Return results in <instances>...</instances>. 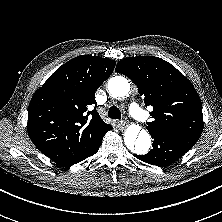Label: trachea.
<instances>
[{
	"label": "trachea",
	"instance_id": "1",
	"mask_svg": "<svg viewBox=\"0 0 222 222\" xmlns=\"http://www.w3.org/2000/svg\"><path fill=\"white\" fill-rule=\"evenodd\" d=\"M108 117L111 119H121V112L116 106H111L108 110Z\"/></svg>",
	"mask_w": 222,
	"mask_h": 222
}]
</instances>
